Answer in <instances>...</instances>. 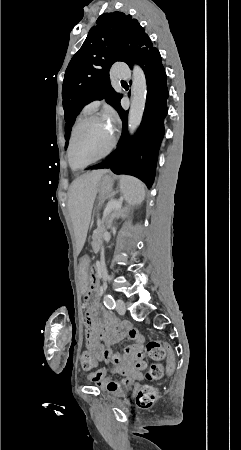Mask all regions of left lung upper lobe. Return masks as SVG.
Wrapping results in <instances>:
<instances>
[{
  "label": "left lung upper lobe",
  "instance_id": "1",
  "mask_svg": "<svg viewBox=\"0 0 241 450\" xmlns=\"http://www.w3.org/2000/svg\"><path fill=\"white\" fill-rule=\"evenodd\" d=\"M153 47L144 28L131 15L104 13L96 21L79 51L72 57L62 86L65 139L82 108L105 99L117 111L122 94L109 81V69L117 61L129 66ZM67 146V145H66Z\"/></svg>",
  "mask_w": 241,
  "mask_h": 450
}]
</instances>
